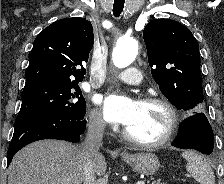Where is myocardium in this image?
<instances>
[{
	"instance_id": "f54148a6",
	"label": "myocardium",
	"mask_w": 224,
	"mask_h": 184,
	"mask_svg": "<svg viewBox=\"0 0 224 184\" xmlns=\"http://www.w3.org/2000/svg\"><path fill=\"white\" fill-rule=\"evenodd\" d=\"M141 102L146 104H157L166 110L169 121L165 133L161 138L155 141H143L132 136L128 129L125 128L123 130L124 137L129 142L146 148H157L167 144L174 137L180 124V117L177 108L169 100L158 96H146L141 99Z\"/></svg>"
}]
</instances>
